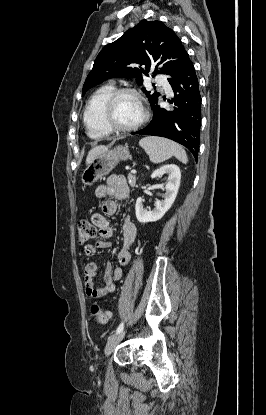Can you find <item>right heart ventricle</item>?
<instances>
[{"label":"right heart ventricle","mask_w":266,"mask_h":415,"mask_svg":"<svg viewBox=\"0 0 266 415\" xmlns=\"http://www.w3.org/2000/svg\"><path fill=\"white\" fill-rule=\"evenodd\" d=\"M115 90L111 84L104 85L90 97L83 115L87 134L95 140L103 139L112 133L103 117L104 105L110 94Z\"/></svg>","instance_id":"1"}]
</instances>
